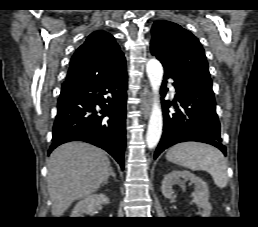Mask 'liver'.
Returning a JSON list of instances; mask_svg holds the SVG:
<instances>
[{"label": "liver", "mask_w": 258, "mask_h": 227, "mask_svg": "<svg viewBox=\"0 0 258 227\" xmlns=\"http://www.w3.org/2000/svg\"><path fill=\"white\" fill-rule=\"evenodd\" d=\"M52 215L60 217L71 204L97 191L110 175L106 153L90 144L69 142L56 148L47 162Z\"/></svg>", "instance_id": "6515ba94"}]
</instances>
